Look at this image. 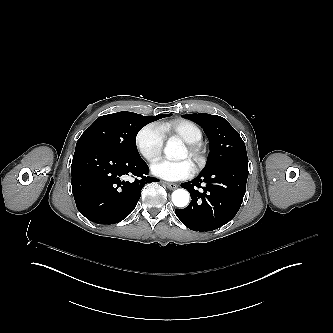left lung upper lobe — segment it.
<instances>
[{"label": "left lung upper lobe", "mask_w": 333, "mask_h": 333, "mask_svg": "<svg viewBox=\"0 0 333 333\" xmlns=\"http://www.w3.org/2000/svg\"><path fill=\"white\" fill-rule=\"evenodd\" d=\"M183 117L200 125L211 144L209 162L201 174H207L231 161H248L246 146L239 133L221 116L207 113Z\"/></svg>", "instance_id": "left-lung-upper-lobe-1"}]
</instances>
